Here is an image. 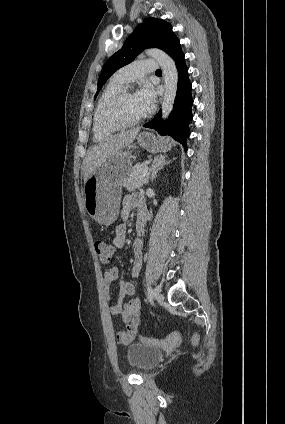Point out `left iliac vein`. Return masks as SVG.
<instances>
[{"label": "left iliac vein", "instance_id": "4c4485c4", "mask_svg": "<svg viewBox=\"0 0 285 424\" xmlns=\"http://www.w3.org/2000/svg\"><path fill=\"white\" fill-rule=\"evenodd\" d=\"M154 296L158 302H161L164 299L163 295L160 292V288L158 286H156L154 289Z\"/></svg>", "mask_w": 285, "mask_h": 424}]
</instances>
